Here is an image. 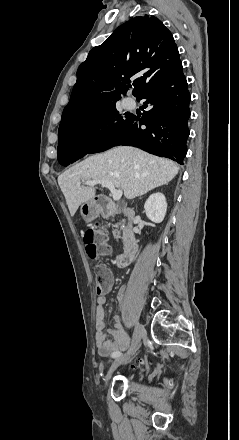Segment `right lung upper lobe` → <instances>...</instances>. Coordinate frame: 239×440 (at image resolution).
Listing matches in <instances>:
<instances>
[{
    "label": "right lung upper lobe",
    "mask_w": 239,
    "mask_h": 440,
    "mask_svg": "<svg viewBox=\"0 0 239 440\" xmlns=\"http://www.w3.org/2000/svg\"><path fill=\"white\" fill-rule=\"evenodd\" d=\"M180 61L171 32L154 16H140L119 26L94 47L77 70V82L61 122L96 111L128 88L135 97L169 73ZM137 77L131 84L130 78Z\"/></svg>",
    "instance_id": "cb5924a9"
}]
</instances>
